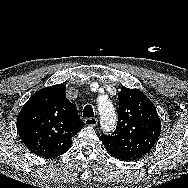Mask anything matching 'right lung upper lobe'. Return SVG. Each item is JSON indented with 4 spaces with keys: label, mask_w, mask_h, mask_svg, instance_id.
<instances>
[{
    "label": "right lung upper lobe",
    "mask_w": 188,
    "mask_h": 188,
    "mask_svg": "<svg viewBox=\"0 0 188 188\" xmlns=\"http://www.w3.org/2000/svg\"><path fill=\"white\" fill-rule=\"evenodd\" d=\"M57 84L34 93L17 117L22 142L37 156L54 158L65 153L83 127L77 108Z\"/></svg>",
    "instance_id": "obj_1"
}]
</instances>
